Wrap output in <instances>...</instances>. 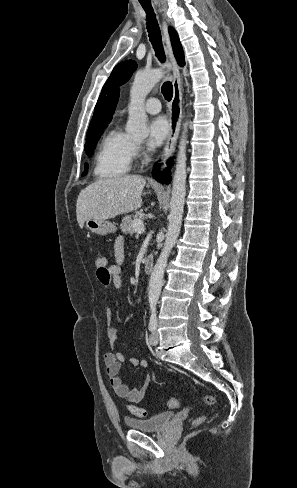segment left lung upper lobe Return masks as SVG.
Listing matches in <instances>:
<instances>
[{"label":"left lung upper lobe","instance_id":"5c2ea615","mask_svg":"<svg viewBox=\"0 0 297 488\" xmlns=\"http://www.w3.org/2000/svg\"><path fill=\"white\" fill-rule=\"evenodd\" d=\"M169 35L171 38V43L173 46V51L175 58L177 59V62L180 66H183L185 64L184 61V53L183 49L181 46V43L179 41L178 35L176 31L172 28L169 27ZM137 65L136 62L132 60H127L124 62L119 63L112 71L110 77L104 84L100 97L97 101L96 106L102 101L104 96L114 87L118 85H122L125 82H127L130 77L132 76V73L136 70Z\"/></svg>","mask_w":297,"mask_h":488}]
</instances>
